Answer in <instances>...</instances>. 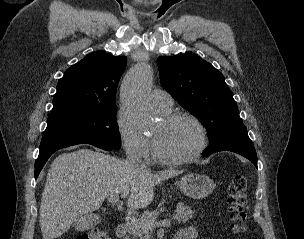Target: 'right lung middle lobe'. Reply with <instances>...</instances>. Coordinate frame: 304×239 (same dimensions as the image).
Wrapping results in <instances>:
<instances>
[{"label":"right lung middle lobe","mask_w":304,"mask_h":239,"mask_svg":"<svg viewBox=\"0 0 304 239\" xmlns=\"http://www.w3.org/2000/svg\"><path fill=\"white\" fill-rule=\"evenodd\" d=\"M116 105L71 108L52 112L42 141L87 139L120 149L121 138L116 122Z\"/></svg>","instance_id":"1"}]
</instances>
